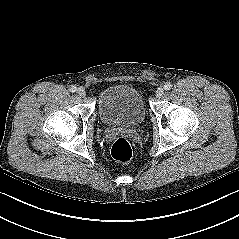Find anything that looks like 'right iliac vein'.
Here are the masks:
<instances>
[{
	"mask_svg": "<svg viewBox=\"0 0 239 239\" xmlns=\"http://www.w3.org/2000/svg\"><path fill=\"white\" fill-rule=\"evenodd\" d=\"M77 93L79 96L84 97L86 95L85 89L83 87H79L77 89Z\"/></svg>",
	"mask_w": 239,
	"mask_h": 239,
	"instance_id": "63e3f726",
	"label": "right iliac vein"
}]
</instances>
